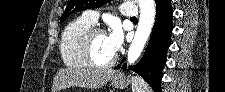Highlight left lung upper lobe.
<instances>
[{
	"mask_svg": "<svg viewBox=\"0 0 225 92\" xmlns=\"http://www.w3.org/2000/svg\"><path fill=\"white\" fill-rule=\"evenodd\" d=\"M109 1L110 0H70L60 22H63L68 16L75 12L83 11L89 8H97Z\"/></svg>",
	"mask_w": 225,
	"mask_h": 92,
	"instance_id": "obj_1",
	"label": "left lung upper lobe"
}]
</instances>
